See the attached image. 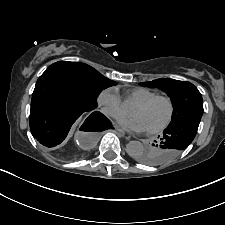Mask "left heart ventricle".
<instances>
[{"label": "left heart ventricle", "mask_w": 225, "mask_h": 225, "mask_svg": "<svg viewBox=\"0 0 225 225\" xmlns=\"http://www.w3.org/2000/svg\"><path fill=\"white\" fill-rule=\"evenodd\" d=\"M131 115L138 116L145 124L146 129L160 126L168 117L169 106L164 100H158L147 107L134 105Z\"/></svg>", "instance_id": "left-heart-ventricle-1"}]
</instances>
